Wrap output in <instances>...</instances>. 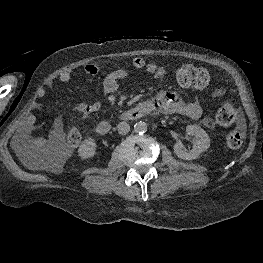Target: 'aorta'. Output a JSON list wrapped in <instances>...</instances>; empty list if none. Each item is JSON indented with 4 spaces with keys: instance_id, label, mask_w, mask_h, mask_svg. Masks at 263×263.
<instances>
[{
    "instance_id": "aorta-1",
    "label": "aorta",
    "mask_w": 263,
    "mask_h": 263,
    "mask_svg": "<svg viewBox=\"0 0 263 263\" xmlns=\"http://www.w3.org/2000/svg\"><path fill=\"white\" fill-rule=\"evenodd\" d=\"M148 126L144 121H138L134 124V131L138 134H143L147 131Z\"/></svg>"
}]
</instances>
